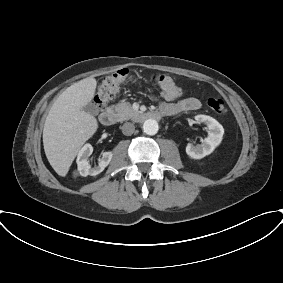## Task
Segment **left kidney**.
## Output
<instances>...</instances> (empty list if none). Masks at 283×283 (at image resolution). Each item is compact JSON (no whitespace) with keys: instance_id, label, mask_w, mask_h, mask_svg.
Here are the masks:
<instances>
[{"instance_id":"5707ae66","label":"left kidney","mask_w":283,"mask_h":283,"mask_svg":"<svg viewBox=\"0 0 283 283\" xmlns=\"http://www.w3.org/2000/svg\"><path fill=\"white\" fill-rule=\"evenodd\" d=\"M195 120L207 125L209 130L208 136L203 140L201 145L194 146L189 143L186 147V153L192 159H202L211 154L221 143L224 128L217 120L207 115H197L195 116Z\"/></svg>"}]
</instances>
